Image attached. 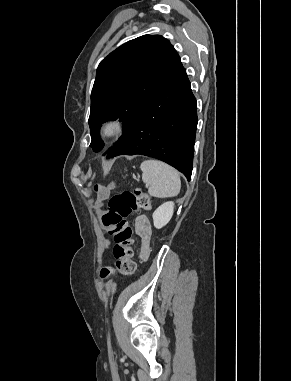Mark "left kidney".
Here are the masks:
<instances>
[{
  "label": "left kidney",
  "instance_id": "1",
  "mask_svg": "<svg viewBox=\"0 0 291 381\" xmlns=\"http://www.w3.org/2000/svg\"><path fill=\"white\" fill-rule=\"evenodd\" d=\"M174 212V203L169 201L159 206L153 213V223L157 229H161L171 220Z\"/></svg>",
  "mask_w": 291,
  "mask_h": 381
}]
</instances>
